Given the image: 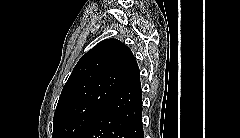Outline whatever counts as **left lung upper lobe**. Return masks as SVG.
Returning <instances> with one entry per match:
<instances>
[{
  "mask_svg": "<svg viewBox=\"0 0 240 138\" xmlns=\"http://www.w3.org/2000/svg\"><path fill=\"white\" fill-rule=\"evenodd\" d=\"M134 63L130 48L117 39L103 40L84 54L61 92L52 137L84 138Z\"/></svg>",
  "mask_w": 240,
  "mask_h": 138,
  "instance_id": "left-lung-upper-lobe-1",
  "label": "left lung upper lobe"
}]
</instances>
